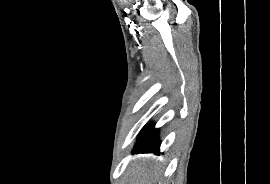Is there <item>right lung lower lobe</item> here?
I'll return each instance as SVG.
<instances>
[{"instance_id":"obj_1","label":"right lung lower lobe","mask_w":270,"mask_h":184,"mask_svg":"<svg viewBox=\"0 0 270 184\" xmlns=\"http://www.w3.org/2000/svg\"><path fill=\"white\" fill-rule=\"evenodd\" d=\"M159 130L154 124L145 126L138 136L133 153H158L160 147Z\"/></svg>"}]
</instances>
